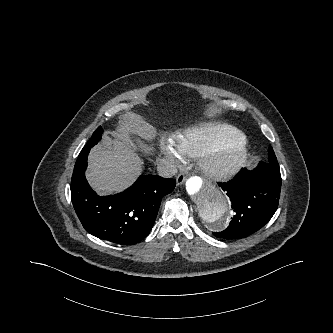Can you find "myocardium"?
I'll return each mask as SVG.
<instances>
[{"label":"myocardium","instance_id":"myocardium-1","mask_svg":"<svg viewBox=\"0 0 333 333\" xmlns=\"http://www.w3.org/2000/svg\"><path fill=\"white\" fill-rule=\"evenodd\" d=\"M249 155L246 139H226L207 149L200 160L208 176L216 180H227L244 166Z\"/></svg>","mask_w":333,"mask_h":333}]
</instances>
